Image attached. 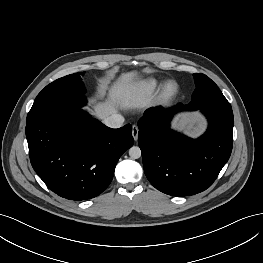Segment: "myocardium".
Returning <instances> with one entry per match:
<instances>
[{"mask_svg": "<svg viewBox=\"0 0 263 263\" xmlns=\"http://www.w3.org/2000/svg\"><path fill=\"white\" fill-rule=\"evenodd\" d=\"M179 93V86L174 81L166 82L158 93V102L166 104L174 100Z\"/></svg>", "mask_w": 263, "mask_h": 263, "instance_id": "myocardium-1", "label": "myocardium"}]
</instances>
